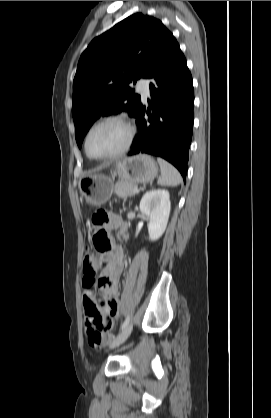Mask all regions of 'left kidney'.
<instances>
[{
	"instance_id": "obj_1",
	"label": "left kidney",
	"mask_w": 271,
	"mask_h": 418,
	"mask_svg": "<svg viewBox=\"0 0 271 418\" xmlns=\"http://www.w3.org/2000/svg\"><path fill=\"white\" fill-rule=\"evenodd\" d=\"M170 208V196L167 190L154 189L143 195L140 211L149 218L148 232L151 241L158 240L165 232Z\"/></svg>"
}]
</instances>
